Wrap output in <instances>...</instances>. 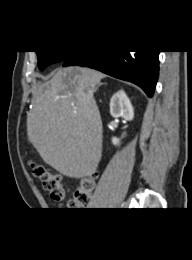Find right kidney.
I'll return each instance as SVG.
<instances>
[{"label":"right kidney","mask_w":192,"mask_h":260,"mask_svg":"<svg viewBox=\"0 0 192 260\" xmlns=\"http://www.w3.org/2000/svg\"><path fill=\"white\" fill-rule=\"evenodd\" d=\"M110 114L114 118L122 117L127 121H131L134 117V110L131 102L123 90L113 95L110 101ZM114 145H119L120 140L116 137L112 138Z\"/></svg>","instance_id":"obj_1"}]
</instances>
